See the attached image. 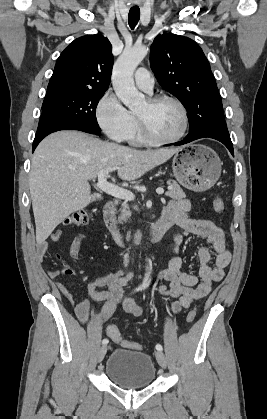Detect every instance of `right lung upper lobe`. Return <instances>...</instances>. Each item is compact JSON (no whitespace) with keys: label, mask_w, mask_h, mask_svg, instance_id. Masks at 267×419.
I'll list each match as a JSON object with an SVG mask.
<instances>
[{"label":"right lung upper lobe","mask_w":267,"mask_h":419,"mask_svg":"<svg viewBox=\"0 0 267 419\" xmlns=\"http://www.w3.org/2000/svg\"><path fill=\"white\" fill-rule=\"evenodd\" d=\"M112 46L99 34L75 39L57 59L47 93L74 90L105 92L113 67Z\"/></svg>","instance_id":"obj_1"}]
</instances>
